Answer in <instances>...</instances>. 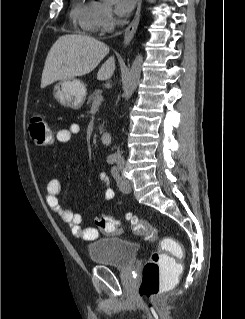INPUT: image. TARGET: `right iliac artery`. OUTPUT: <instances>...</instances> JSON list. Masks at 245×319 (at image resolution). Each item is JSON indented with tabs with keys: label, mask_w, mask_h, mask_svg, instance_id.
Returning <instances> with one entry per match:
<instances>
[{
	"label": "right iliac artery",
	"mask_w": 245,
	"mask_h": 319,
	"mask_svg": "<svg viewBox=\"0 0 245 319\" xmlns=\"http://www.w3.org/2000/svg\"><path fill=\"white\" fill-rule=\"evenodd\" d=\"M107 162H108L109 164H114V163L116 162V157H114V156H109V157L107 158Z\"/></svg>",
	"instance_id": "1"
}]
</instances>
